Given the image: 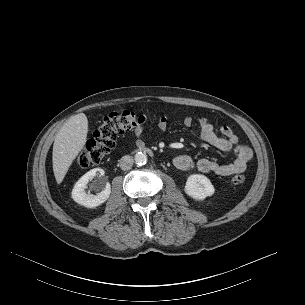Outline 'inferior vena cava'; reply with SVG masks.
Here are the masks:
<instances>
[{"mask_svg": "<svg viewBox=\"0 0 305 305\" xmlns=\"http://www.w3.org/2000/svg\"><path fill=\"white\" fill-rule=\"evenodd\" d=\"M133 162V157L126 155L120 159L119 164L122 170H129L133 166Z\"/></svg>", "mask_w": 305, "mask_h": 305, "instance_id": "1", "label": "inferior vena cava"}]
</instances>
